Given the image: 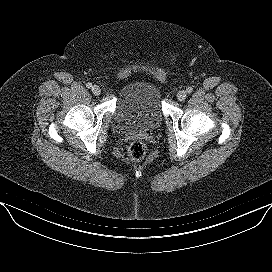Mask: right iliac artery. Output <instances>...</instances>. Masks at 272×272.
<instances>
[{"instance_id": "right-iliac-artery-1", "label": "right iliac artery", "mask_w": 272, "mask_h": 272, "mask_svg": "<svg viewBox=\"0 0 272 272\" xmlns=\"http://www.w3.org/2000/svg\"><path fill=\"white\" fill-rule=\"evenodd\" d=\"M86 87H87V88H91V87H92V83L88 82V83L86 84Z\"/></svg>"}]
</instances>
